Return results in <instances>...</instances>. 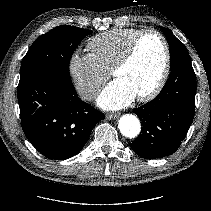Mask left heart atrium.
<instances>
[{
    "mask_svg": "<svg viewBox=\"0 0 211 211\" xmlns=\"http://www.w3.org/2000/svg\"><path fill=\"white\" fill-rule=\"evenodd\" d=\"M135 93L122 81L115 79L99 95L98 104L106 110H117L128 106Z\"/></svg>",
    "mask_w": 211,
    "mask_h": 211,
    "instance_id": "obj_1",
    "label": "left heart atrium"
}]
</instances>
